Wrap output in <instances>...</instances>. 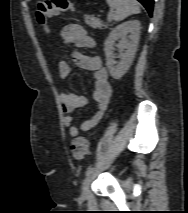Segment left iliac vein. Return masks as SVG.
<instances>
[{"instance_id":"4c4485c4","label":"left iliac vein","mask_w":188,"mask_h":213,"mask_svg":"<svg viewBox=\"0 0 188 213\" xmlns=\"http://www.w3.org/2000/svg\"><path fill=\"white\" fill-rule=\"evenodd\" d=\"M92 175L87 176L82 184V195L87 197L90 193V183H91Z\"/></svg>"}]
</instances>
